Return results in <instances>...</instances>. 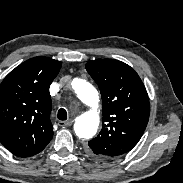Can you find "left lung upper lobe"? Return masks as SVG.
<instances>
[{
	"label": "left lung upper lobe",
	"mask_w": 183,
	"mask_h": 183,
	"mask_svg": "<svg viewBox=\"0 0 183 183\" xmlns=\"http://www.w3.org/2000/svg\"><path fill=\"white\" fill-rule=\"evenodd\" d=\"M85 67L100 89L103 107L102 130L88 142L87 150L117 158L129 152L145 131L150 113L147 91L138 74L121 61L99 59Z\"/></svg>",
	"instance_id": "left-lung-upper-lobe-1"
}]
</instances>
